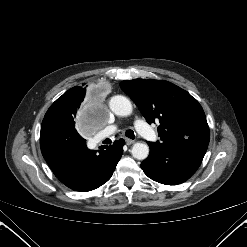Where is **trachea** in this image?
Returning <instances> with one entry per match:
<instances>
[{
    "label": "trachea",
    "instance_id": "1",
    "mask_svg": "<svg viewBox=\"0 0 247 247\" xmlns=\"http://www.w3.org/2000/svg\"><path fill=\"white\" fill-rule=\"evenodd\" d=\"M125 135L128 137V138H130V139H134L135 138V134H134V132L132 131V130H127L126 132H125ZM109 140V139H108Z\"/></svg>",
    "mask_w": 247,
    "mask_h": 247
}]
</instances>
